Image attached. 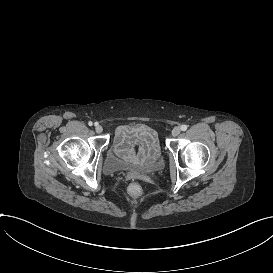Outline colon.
<instances>
[{
	"mask_svg": "<svg viewBox=\"0 0 273 273\" xmlns=\"http://www.w3.org/2000/svg\"><path fill=\"white\" fill-rule=\"evenodd\" d=\"M125 195L135 203L141 202L146 195L145 188L136 181H129L124 186Z\"/></svg>",
	"mask_w": 273,
	"mask_h": 273,
	"instance_id": "colon-1",
	"label": "colon"
}]
</instances>
